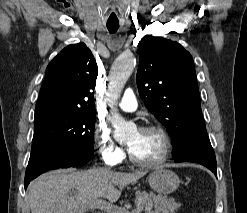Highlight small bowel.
<instances>
[{"mask_svg":"<svg viewBox=\"0 0 247 213\" xmlns=\"http://www.w3.org/2000/svg\"><path fill=\"white\" fill-rule=\"evenodd\" d=\"M147 213H155L154 211H149V212H147Z\"/></svg>","mask_w":247,"mask_h":213,"instance_id":"small-bowel-1","label":"small bowel"}]
</instances>
